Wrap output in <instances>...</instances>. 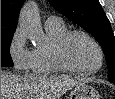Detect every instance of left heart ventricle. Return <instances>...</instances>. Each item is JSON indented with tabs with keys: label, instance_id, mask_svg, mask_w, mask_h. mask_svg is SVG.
<instances>
[{
	"label": "left heart ventricle",
	"instance_id": "obj_1",
	"mask_svg": "<svg viewBox=\"0 0 115 99\" xmlns=\"http://www.w3.org/2000/svg\"><path fill=\"white\" fill-rule=\"evenodd\" d=\"M68 61L80 70H91L98 65L99 57L95 46L85 37L73 36L66 45Z\"/></svg>",
	"mask_w": 115,
	"mask_h": 99
}]
</instances>
